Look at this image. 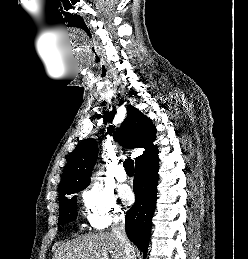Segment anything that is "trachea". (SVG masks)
Instances as JSON below:
<instances>
[{"label":"trachea","instance_id":"trachea-1","mask_svg":"<svg viewBox=\"0 0 248 259\" xmlns=\"http://www.w3.org/2000/svg\"><path fill=\"white\" fill-rule=\"evenodd\" d=\"M124 168L128 175H132L134 173V161L130 157H127L124 161Z\"/></svg>","mask_w":248,"mask_h":259}]
</instances>
